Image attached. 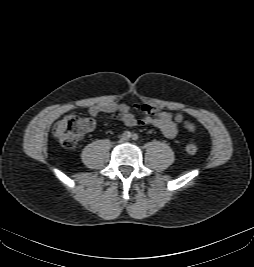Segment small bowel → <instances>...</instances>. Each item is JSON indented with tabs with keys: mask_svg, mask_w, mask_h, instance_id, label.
Listing matches in <instances>:
<instances>
[{
	"mask_svg": "<svg viewBox=\"0 0 254 267\" xmlns=\"http://www.w3.org/2000/svg\"><path fill=\"white\" fill-rule=\"evenodd\" d=\"M142 113L143 118L138 120L132 109L127 104L104 102L92 105L88 112L92 117H96L101 113L118 114L125 125L129 127L136 126L137 124L152 125L158 128L167 138H175L178 134V126L183 124L184 128L188 131H194L195 126L191 122H185L183 115L180 113H170L160 111L155 107L149 105L137 106L136 108Z\"/></svg>",
	"mask_w": 254,
	"mask_h": 267,
	"instance_id": "c3829d8e",
	"label": "small bowel"
}]
</instances>
